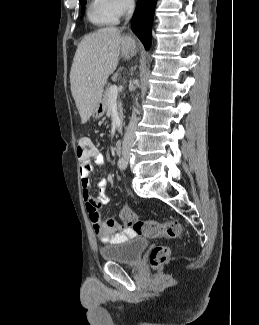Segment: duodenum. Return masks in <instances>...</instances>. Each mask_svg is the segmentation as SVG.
I'll return each mask as SVG.
<instances>
[{
    "label": "duodenum",
    "instance_id": "duodenum-1",
    "mask_svg": "<svg viewBox=\"0 0 259 325\" xmlns=\"http://www.w3.org/2000/svg\"><path fill=\"white\" fill-rule=\"evenodd\" d=\"M123 149V142L122 140H117L115 145H114V150L117 154H120Z\"/></svg>",
    "mask_w": 259,
    "mask_h": 325
}]
</instances>
